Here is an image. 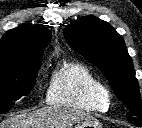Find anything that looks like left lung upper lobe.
<instances>
[{"instance_id":"1","label":"left lung upper lobe","mask_w":142,"mask_h":128,"mask_svg":"<svg viewBox=\"0 0 142 128\" xmlns=\"http://www.w3.org/2000/svg\"><path fill=\"white\" fill-rule=\"evenodd\" d=\"M64 37L103 72L117 98L129 109L128 121L142 127L138 82L122 36L107 22L90 15L66 25Z\"/></svg>"}]
</instances>
